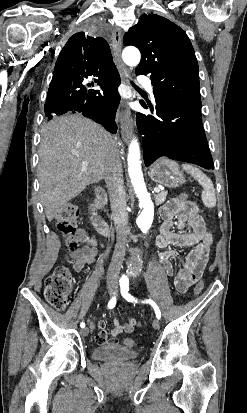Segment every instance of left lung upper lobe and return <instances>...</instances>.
I'll return each mask as SVG.
<instances>
[{
  "mask_svg": "<svg viewBox=\"0 0 247 413\" xmlns=\"http://www.w3.org/2000/svg\"><path fill=\"white\" fill-rule=\"evenodd\" d=\"M125 46L141 52L136 74L151 73L158 100H175L201 109L198 63L186 33L156 14H143L124 36Z\"/></svg>",
  "mask_w": 247,
  "mask_h": 413,
  "instance_id": "left-lung-upper-lobe-1",
  "label": "left lung upper lobe"
}]
</instances>
